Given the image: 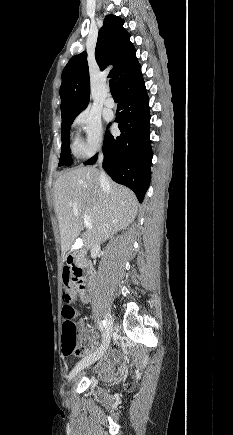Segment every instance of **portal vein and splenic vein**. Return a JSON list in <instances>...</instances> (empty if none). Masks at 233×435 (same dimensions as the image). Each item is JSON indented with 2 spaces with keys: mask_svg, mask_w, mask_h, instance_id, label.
I'll return each mask as SVG.
<instances>
[{
  "mask_svg": "<svg viewBox=\"0 0 233 435\" xmlns=\"http://www.w3.org/2000/svg\"><path fill=\"white\" fill-rule=\"evenodd\" d=\"M83 222H84V225L86 226V228H88L89 230L92 229L91 219L88 215H84Z\"/></svg>",
  "mask_w": 233,
  "mask_h": 435,
  "instance_id": "obj_1",
  "label": "portal vein and splenic vein"
}]
</instances>
